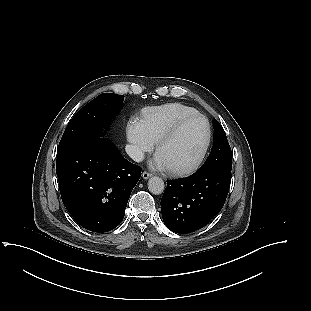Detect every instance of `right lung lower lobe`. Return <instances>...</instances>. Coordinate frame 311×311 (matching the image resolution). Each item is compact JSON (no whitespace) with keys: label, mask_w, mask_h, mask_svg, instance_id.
I'll return each instance as SVG.
<instances>
[{"label":"right lung lower lobe","mask_w":311,"mask_h":311,"mask_svg":"<svg viewBox=\"0 0 311 311\" xmlns=\"http://www.w3.org/2000/svg\"><path fill=\"white\" fill-rule=\"evenodd\" d=\"M62 201L82 227L107 232L117 227L141 168L126 160L106 138L91 137L57 155Z\"/></svg>","instance_id":"obj_1"}]
</instances>
